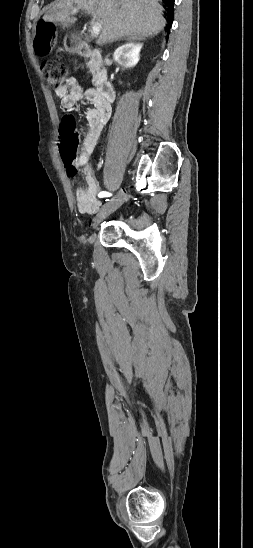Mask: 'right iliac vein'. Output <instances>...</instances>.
I'll return each mask as SVG.
<instances>
[{
    "mask_svg": "<svg viewBox=\"0 0 253 548\" xmlns=\"http://www.w3.org/2000/svg\"><path fill=\"white\" fill-rule=\"evenodd\" d=\"M127 194L126 192L121 189L116 196V198L112 199L110 202L106 203L100 212L98 213L97 217L94 220V228L97 227V225L108 215H110L112 212L116 211L120 205L123 203V201L126 199Z\"/></svg>",
    "mask_w": 253,
    "mask_h": 548,
    "instance_id": "1",
    "label": "right iliac vein"
}]
</instances>
